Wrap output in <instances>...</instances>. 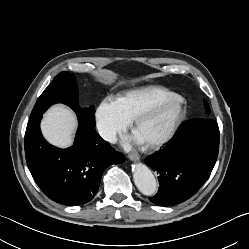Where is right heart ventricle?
Masks as SVG:
<instances>
[{
    "mask_svg": "<svg viewBox=\"0 0 249 249\" xmlns=\"http://www.w3.org/2000/svg\"><path fill=\"white\" fill-rule=\"evenodd\" d=\"M172 95L174 93L164 87L146 86L129 90L116 101L124 116L131 122L147 106Z\"/></svg>",
    "mask_w": 249,
    "mask_h": 249,
    "instance_id": "right-heart-ventricle-1",
    "label": "right heart ventricle"
}]
</instances>
